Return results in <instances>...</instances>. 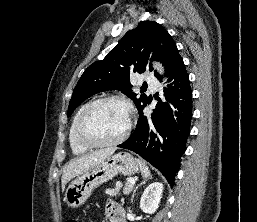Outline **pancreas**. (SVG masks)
<instances>
[{
  "label": "pancreas",
  "instance_id": "cf45deb5",
  "mask_svg": "<svg viewBox=\"0 0 257 222\" xmlns=\"http://www.w3.org/2000/svg\"><path fill=\"white\" fill-rule=\"evenodd\" d=\"M120 189H121V186L117 185L115 188L107 189L106 194L111 197L120 195V193H119ZM132 189H133V184L129 183V181L127 180V182L125 183V186L123 188V194L128 195L132 191Z\"/></svg>",
  "mask_w": 257,
  "mask_h": 222
}]
</instances>
